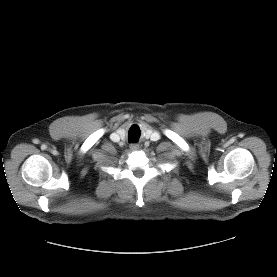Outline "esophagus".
Masks as SVG:
<instances>
[{"label":"esophagus","instance_id":"1","mask_svg":"<svg viewBox=\"0 0 277 277\" xmlns=\"http://www.w3.org/2000/svg\"><path fill=\"white\" fill-rule=\"evenodd\" d=\"M138 149H139V145L138 144H131L130 145V150L137 151Z\"/></svg>","mask_w":277,"mask_h":277}]
</instances>
